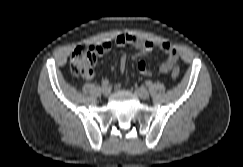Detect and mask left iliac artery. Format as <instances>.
<instances>
[{
  "mask_svg": "<svg viewBox=\"0 0 243 167\" xmlns=\"http://www.w3.org/2000/svg\"><path fill=\"white\" fill-rule=\"evenodd\" d=\"M146 85L147 86H151L152 85V82L150 80L146 81Z\"/></svg>",
  "mask_w": 243,
  "mask_h": 167,
  "instance_id": "1",
  "label": "left iliac artery"
}]
</instances>
